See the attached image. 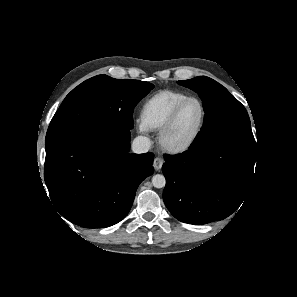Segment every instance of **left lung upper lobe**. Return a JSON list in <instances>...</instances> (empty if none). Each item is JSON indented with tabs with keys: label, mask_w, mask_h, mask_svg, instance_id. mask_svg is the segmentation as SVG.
I'll return each mask as SVG.
<instances>
[{
	"label": "left lung upper lobe",
	"mask_w": 297,
	"mask_h": 297,
	"mask_svg": "<svg viewBox=\"0 0 297 297\" xmlns=\"http://www.w3.org/2000/svg\"><path fill=\"white\" fill-rule=\"evenodd\" d=\"M178 84L197 92L205 111L203 127L192 147L216 140H235L256 147L244 106L215 80L199 76Z\"/></svg>",
	"instance_id": "left-lung-upper-lobe-1"
}]
</instances>
